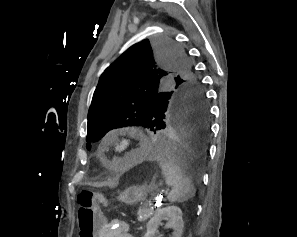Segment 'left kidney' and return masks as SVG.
Returning <instances> with one entry per match:
<instances>
[{"label":"left kidney","instance_id":"obj_1","mask_svg":"<svg viewBox=\"0 0 297 237\" xmlns=\"http://www.w3.org/2000/svg\"><path fill=\"white\" fill-rule=\"evenodd\" d=\"M167 220L166 228H172V237H181L184 228L182 211L177 206H167L157 210L156 214L147 223V231L143 237H155L162 220Z\"/></svg>","mask_w":297,"mask_h":237}]
</instances>
